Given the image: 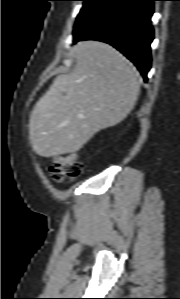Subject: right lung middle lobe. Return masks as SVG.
I'll return each instance as SVG.
<instances>
[{"instance_id":"right-lung-middle-lobe-1","label":"right lung middle lobe","mask_w":180,"mask_h":299,"mask_svg":"<svg viewBox=\"0 0 180 299\" xmlns=\"http://www.w3.org/2000/svg\"><path fill=\"white\" fill-rule=\"evenodd\" d=\"M84 1L83 7L76 18V23L91 14L97 7H99L106 0H81Z\"/></svg>"}]
</instances>
